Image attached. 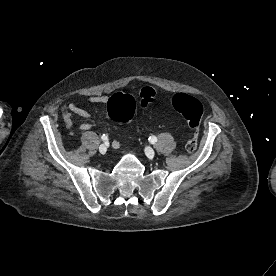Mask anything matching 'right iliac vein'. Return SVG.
<instances>
[{"label":"right iliac vein","mask_w":276,"mask_h":276,"mask_svg":"<svg viewBox=\"0 0 276 276\" xmlns=\"http://www.w3.org/2000/svg\"><path fill=\"white\" fill-rule=\"evenodd\" d=\"M99 151H100L101 154H105L106 151H107V146L105 144H101L99 146Z\"/></svg>","instance_id":"right-iliac-vein-1"}]
</instances>
